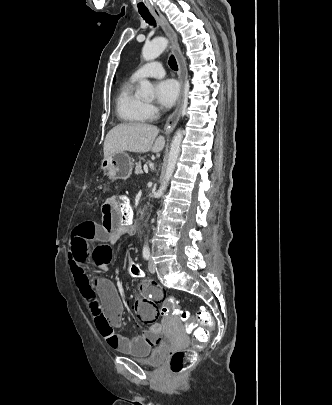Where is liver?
<instances>
[{"label": "liver", "instance_id": "6515ba94", "mask_svg": "<svg viewBox=\"0 0 332 405\" xmlns=\"http://www.w3.org/2000/svg\"><path fill=\"white\" fill-rule=\"evenodd\" d=\"M158 133V128L149 124H119L106 135L103 147L104 158L122 151L159 153L165 147V138L158 136Z\"/></svg>", "mask_w": 332, "mask_h": 405}]
</instances>
